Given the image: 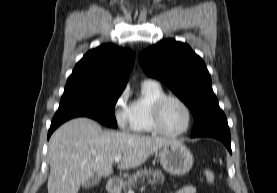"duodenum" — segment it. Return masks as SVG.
Masks as SVG:
<instances>
[{
  "label": "duodenum",
  "instance_id": "1",
  "mask_svg": "<svg viewBox=\"0 0 277 193\" xmlns=\"http://www.w3.org/2000/svg\"><path fill=\"white\" fill-rule=\"evenodd\" d=\"M107 188L109 193H118L121 188L120 181L118 179H111L108 182Z\"/></svg>",
  "mask_w": 277,
  "mask_h": 193
}]
</instances>
